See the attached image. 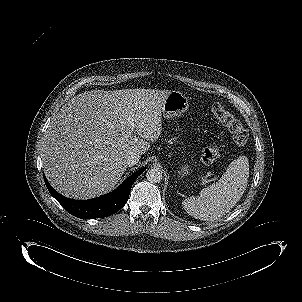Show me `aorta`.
<instances>
[{"label":"aorta","instance_id":"762f6f07","mask_svg":"<svg viewBox=\"0 0 302 302\" xmlns=\"http://www.w3.org/2000/svg\"><path fill=\"white\" fill-rule=\"evenodd\" d=\"M146 178L151 183H159L162 180V172L159 168H150L146 173Z\"/></svg>","mask_w":302,"mask_h":302}]
</instances>
